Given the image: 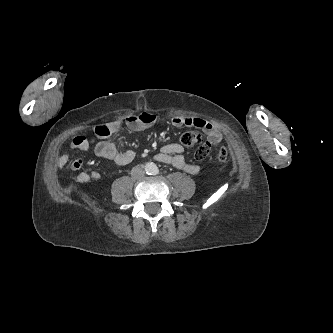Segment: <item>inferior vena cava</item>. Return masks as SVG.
Instances as JSON below:
<instances>
[{"label":"inferior vena cava","mask_w":333,"mask_h":333,"mask_svg":"<svg viewBox=\"0 0 333 333\" xmlns=\"http://www.w3.org/2000/svg\"><path fill=\"white\" fill-rule=\"evenodd\" d=\"M144 175H145V171L142 167L136 166V167H133L131 170V176L134 179H141L144 177Z\"/></svg>","instance_id":"602c4592"}]
</instances>
